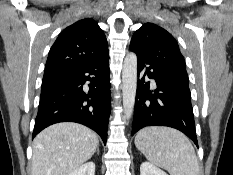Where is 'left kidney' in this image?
I'll list each match as a JSON object with an SVG mask.
<instances>
[{"label": "left kidney", "mask_w": 233, "mask_h": 175, "mask_svg": "<svg viewBox=\"0 0 233 175\" xmlns=\"http://www.w3.org/2000/svg\"><path fill=\"white\" fill-rule=\"evenodd\" d=\"M140 175H168L160 168L154 166L150 162H143L140 166Z\"/></svg>", "instance_id": "1"}]
</instances>
